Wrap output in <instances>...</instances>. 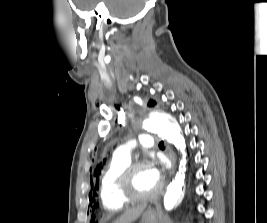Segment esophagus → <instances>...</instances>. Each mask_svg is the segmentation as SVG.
Segmentation results:
<instances>
[{
    "label": "esophagus",
    "mask_w": 267,
    "mask_h": 223,
    "mask_svg": "<svg viewBox=\"0 0 267 223\" xmlns=\"http://www.w3.org/2000/svg\"><path fill=\"white\" fill-rule=\"evenodd\" d=\"M168 157H169L171 164H172L171 174H173L175 171V166H176V158H175V154H174L173 150L169 147H168Z\"/></svg>",
    "instance_id": "esophagus-1"
}]
</instances>
